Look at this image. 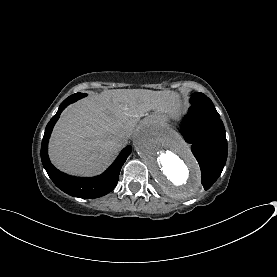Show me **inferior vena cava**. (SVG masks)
I'll use <instances>...</instances> for the list:
<instances>
[{
    "label": "inferior vena cava",
    "mask_w": 277,
    "mask_h": 277,
    "mask_svg": "<svg viewBox=\"0 0 277 277\" xmlns=\"http://www.w3.org/2000/svg\"><path fill=\"white\" fill-rule=\"evenodd\" d=\"M116 135L119 140L126 142L130 135V131H118Z\"/></svg>",
    "instance_id": "1"
}]
</instances>
